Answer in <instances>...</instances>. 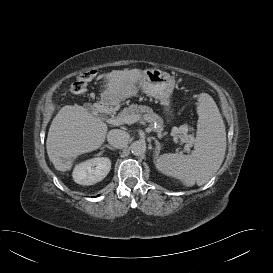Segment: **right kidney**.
Wrapping results in <instances>:
<instances>
[{
    "label": "right kidney",
    "instance_id": "1",
    "mask_svg": "<svg viewBox=\"0 0 273 273\" xmlns=\"http://www.w3.org/2000/svg\"><path fill=\"white\" fill-rule=\"evenodd\" d=\"M111 169V161L106 157L86 160L75 166L73 179L80 185H93L103 180Z\"/></svg>",
    "mask_w": 273,
    "mask_h": 273
}]
</instances>
